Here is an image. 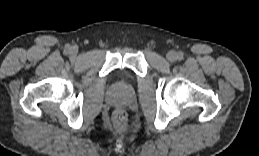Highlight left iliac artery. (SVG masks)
Segmentation results:
<instances>
[{"label":"left iliac artery","mask_w":259,"mask_h":156,"mask_svg":"<svg viewBox=\"0 0 259 156\" xmlns=\"http://www.w3.org/2000/svg\"><path fill=\"white\" fill-rule=\"evenodd\" d=\"M177 58H178L179 60H181V59L183 58V53H182V52H179L178 55H177Z\"/></svg>","instance_id":"obj_1"}]
</instances>
